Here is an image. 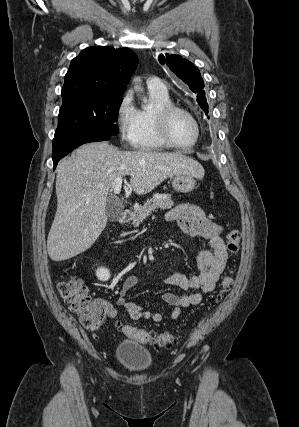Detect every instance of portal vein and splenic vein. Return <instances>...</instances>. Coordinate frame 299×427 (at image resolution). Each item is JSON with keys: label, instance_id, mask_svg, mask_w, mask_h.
Returning <instances> with one entry per match:
<instances>
[{"label": "portal vein and splenic vein", "instance_id": "obj_1", "mask_svg": "<svg viewBox=\"0 0 299 427\" xmlns=\"http://www.w3.org/2000/svg\"><path fill=\"white\" fill-rule=\"evenodd\" d=\"M121 187H122V178L119 177L115 180V184H114L113 189H112L113 193L115 195H118L121 191Z\"/></svg>", "mask_w": 299, "mask_h": 427}]
</instances>
